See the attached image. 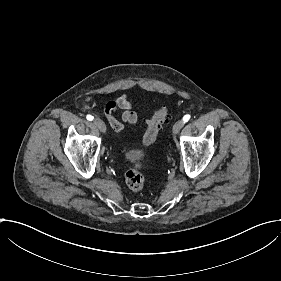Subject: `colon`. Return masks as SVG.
Masks as SVG:
<instances>
[{
    "mask_svg": "<svg viewBox=\"0 0 281 281\" xmlns=\"http://www.w3.org/2000/svg\"><path fill=\"white\" fill-rule=\"evenodd\" d=\"M170 116V105L161 103L152 113L147 127L141 137L140 145L143 148L153 146L160 135L163 124ZM144 164L142 161H134L131 167L125 172L123 180L125 185L133 191H140L145 185L143 174Z\"/></svg>",
    "mask_w": 281,
    "mask_h": 281,
    "instance_id": "colon-1",
    "label": "colon"
}]
</instances>
